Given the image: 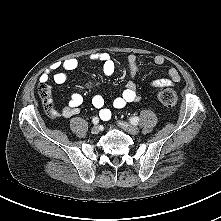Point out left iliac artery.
<instances>
[{
    "label": "left iliac artery",
    "instance_id": "44dca946",
    "mask_svg": "<svg viewBox=\"0 0 221 221\" xmlns=\"http://www.w3.org/2000/svg\"><path fill=\"white\" fill-rule=\"evenodd\" d=\"M129 122H130L131 124H133V125H137L138 122H139V117H131V118L129 119Z\"/></svg>",
    "mask_w": 221,
    "mask_h": 221
}]
</instances>
